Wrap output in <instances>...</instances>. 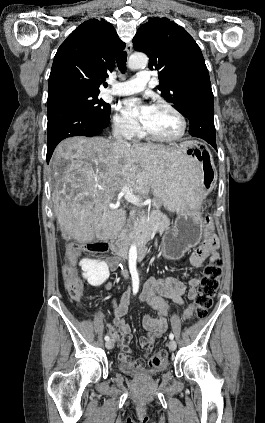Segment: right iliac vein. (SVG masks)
<instances>
[{"label": "right iliac vein", "instance_id": "1", "mask_svg": "<svg viewBox=\"0 0 265 423\" xmlns=\"http://www.w3.org/2000/svg\"><path fill=\"white\" fill-rule=\"evenodd\" d=\"M107 349H112L114 347V339H110L105 343Z\"/></svg>", "mask_w": 265, "mask_h": 423}]
</instances>
